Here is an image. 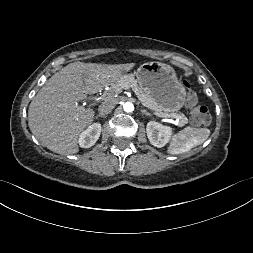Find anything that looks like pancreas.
Wrapping results in <instances>:
<instances>
[{
    "label": "pancreas",
    "mask_w": 253,
    "mask_h": 253,
    "mask_svg": "<svg viewBox=\"0 0 253 253\" xmlns=\"http://www.w3.org/2000/svg\"><path fill=\"white\" fill-rule=\"evenodd\" d=\"M123 84H126L133 89L138 99L145 107L155 112L164 113L162 108L154 101V99L140 88V86L137 84V81L134 78V75L132 74L122 76L117 82L111 85L110 94L116 95L119 92H121L122 90L121 85ZM177 115L181 117L179 123L180 126H184L185 124H187L188 119L183 114Z\"/></svg>",
    "instance_id": "1"
}]
</instances>
